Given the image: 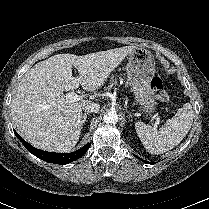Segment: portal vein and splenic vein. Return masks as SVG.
<instances>
[{
	"label": "portal vein and splenic vein",
	"instance_id": "18ae733b",
	"mask_svg": "<svg viewBox=\"0 0 209 209\" xmlns=\"http://www.w3.org/2000/svg\"><path fill=\"white\" fill-rule=\"evenodd\" d=\"M65 97H66V100L68 102H76V101L82 100L85 97V95H83V94H77L75 92H70V93H67L65 95ZM159 122H160V120H159V118H157L156 125H158Z\"/></svg>",
	"mask_w": 209,
	"mask_h": 209
}]
</instances>
